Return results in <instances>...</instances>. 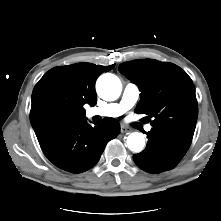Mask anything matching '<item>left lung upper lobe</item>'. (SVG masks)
<instances>
[{"label":"left lung upper lobe","mask_w":221,"mask_h":221,"mask_svg":"<svg viewBox=\"0 0 221 221\" xmlns=\"http://www.w3.org/2000/svg\"><path fill=\"white\" fill-rule=\"evenodd\" d=\"M119 71L141 90L137 113L152 118L153 128L192 140L198 107L195 86L184 70L172 63L141 59L120 64Z\"/></svg>","instance_id":"obj_1"}]
</instances>
